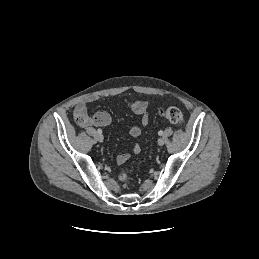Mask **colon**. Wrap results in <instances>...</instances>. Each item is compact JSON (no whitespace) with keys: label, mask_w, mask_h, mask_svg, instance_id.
Returning a JSON list of instances; mask_svg holds the SVG:
<instances>
[{"label":"colon","mask_w":259,"mask_h":259,"mask_svg":"<svg viewBox=\"0 0 259 259\" xmlns=\"http://www.w3.org/2000/svg\"><path fill=\"white\" fill-rule=\"evenodd\" d=\"M160 115L172 124L182 126L184 124V116L181 110L177 107H168L160 110ZM79 123L83 124L84 118L77 119ZM129 179L128 173L125 169H122L119 174V180L126 183Z\"/></svg>","instance_id":"1"}]
</instances>
